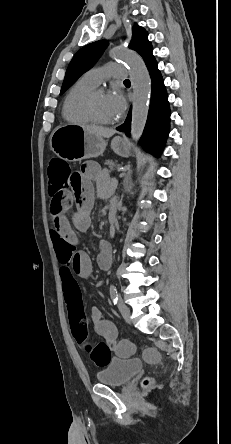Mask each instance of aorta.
Returning <instances> with one entry per match:
<instances>
[{"label":"aorta","instance_id":"aorta-1","mask_svg":"<svg viewBox=\"0 0 231 444\" xmlns=\"http://www.w3.org/2000/svg\"><path fill=\"white\" fill-rule=\"evenodd\" d=\"M113 55L124 61L130 69V80L133 88V106L131 119V136L138 141L143 133L151 95V80L143 59L126 49L117 48Z\"/></svg>","mask_w":231,"mask_h":444}]
</instances>
